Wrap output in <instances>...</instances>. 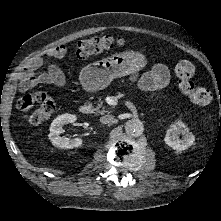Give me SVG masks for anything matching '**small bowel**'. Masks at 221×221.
<instances>
[{
  "label": "small bowel",
  "mask_w": 221,
  "mask_h": 221,
  "mask_svg": "<svg viewBox=\"0 0 221 221\" xmlns=\"http://www.w3.org/2000/svg\"><path fill=\"white\" fill-rule=\"evenodd\" d=\"M67 51L66 46H58L47 51L43 56L33 58L24 68L19 84L20 90L28 91L40 84L64 87L67 79L58 67L51 65L43 72L39 70L43 66L45 58H60L65 56ZM169 78L167 67L163 64H156L141 77L139 86L143 90L156 92L168 85Z\"/></svg>",
  "instance_id": "1"
}]
</instances>
